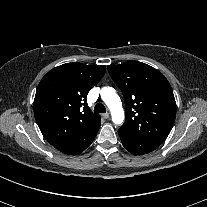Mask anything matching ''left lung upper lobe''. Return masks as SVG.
I'll use <instances>...</instances> for the list:
<instances>
[{
    "label": "left lung upper lobe",
    "instance_id": "left-lung-upper-lobe-1",
    "mask_svg": "<svg viewBox=\"0 0 207 207\" xmlns=\"http://www.w3.org/2000/svg\"><path fill=\"white\" fill-rule=\"evenodd\" d=\"M108 71L121 89L126 105L125 123L119 130L162 143L176 116L175 98L165 76L138 61L109 65Z\"/></svg>",
    "mask_w": 207,
    "mask_h": 207
}]
</instances>
